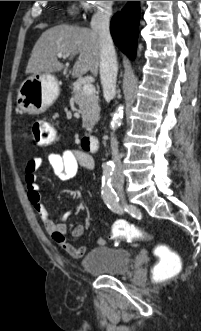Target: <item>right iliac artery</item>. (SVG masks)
Returning a JSON list of instances; mask_svg holds the SVG:
<instances>
[{
  "label": "right iliac artery",
  "instance_id": "82829eb1",
  "mask_svg": "<svg viewBox=\"0 0 201 331\" xmlns=\"http://www.w3.org/2000/svg\"><path fill=\"white\" fill-rule=\"evenodd\" d=\"M113 168L110 166L104 167L103 177H102V197L106 205L115 213L122 214L123 210L119 205V198L112 188L111 178L113 173Z\"/></svg>",
  "mask_w": 201,
  "mask_h": 331
}]
</instances>
